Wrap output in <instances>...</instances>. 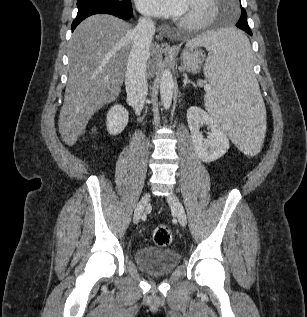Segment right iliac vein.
Returning a JSON list of instances; mask_svg holds the SVG:
<instances>
[{"instance_id":"63e3f726","label":"right iliac vein","mask_w":307,"mask_h":317,"mask_svg":"<svg viewBox=\"0 0 307 317\" xmlns=\"http://www.w3.org/2000/svg\"><path fill=\"white\" fill-rule=\"evenodd\" d=\"M149 201H150V194L149 193L144 194V196L141 198V200L139 201V203L137 204L135 208L134 216H133L134 223L139 222L144 209L149 204Z\"/></svg>"}]
</instances>
